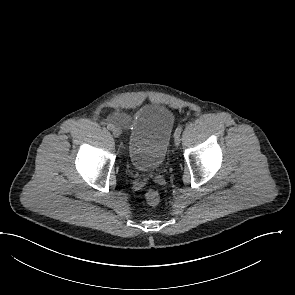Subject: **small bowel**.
Here are the masks:
<instances>
[{"mask_svg": "<svg viewBox=\"0 0 295 295\" xmlns=\"http://www.w3.org/2000/svg\"><path fill=\"white\" fill-rule=\"evenodd\" d=\"M116 122L122 125H126L127 124V118L125 116H117L115 118Z\"/></svg>", "mask_w": 295, "mask_h": 295, "instance_id": "c3829d8e", "label": "small bowel"}]
</instances>
